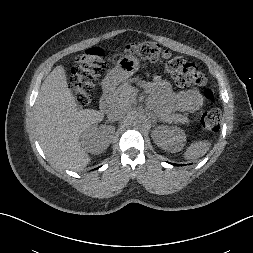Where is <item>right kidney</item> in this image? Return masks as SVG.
Segmentation results:
<instances>
[{"instance_id": "obj_1", "label": "right kidney", "mask_w": 253, "mask_h": 253, "mask_svg": "<svg viewBox=\"0 0 253 253\" xmlns=\"http://www.w3.org/2000/svg\"><path fill=\"white\" fill-rule=\"evenodd\" d=\"M114 129L107 126H91L81 135V144L85 150L92 154L104 152L111 143Z\"/></svg>"}]
</instances>
